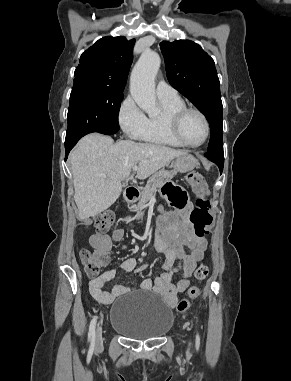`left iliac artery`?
I'll return each instance as SVG.
<instances>
[{"label": "left iliac artery", "instance_id": "obj_1", "mask_svg": "<svg viewBox=\"0 0 291 381\" xmlns=\"http://www.w3.org/2000/svg\"><path fill=\"white\" fill-rule=\"evenodd\" d=\"M199 344H200V337H199V335L197 334V335H196V346L198 347Z\"/></svg>", "mask_w": 291, "mask_h": 381}]
</instances>
